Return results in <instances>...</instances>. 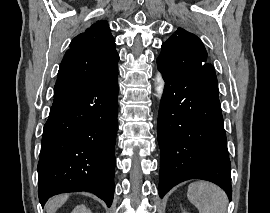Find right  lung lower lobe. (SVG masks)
<instances>
[{
  "mask_svg": "<svg viewBox=\"0 0 270 213\" xmlns=\"http://www.w3.org/2000/svg\"><path fill=\"white\" fill-rule=\"evenodd\" d=\"M118 72L56 93L44 125L38 163L42 206L53 195L90 191L109 207L114 196Z\"/></svg>",
  "mask_w": 270,
  "mask_h": 213,
  "instance_id": "98d812e1",
  "label": "right lung lower lobe"
}]
</instances>
